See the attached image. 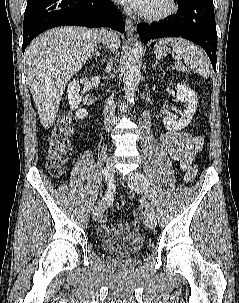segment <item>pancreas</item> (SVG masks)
<instances>
[{"mask_svg": "<svg viewBox=\"0 0 239 303\" xmlns=\"http://www.w3.org/2000/svg\"><path fill=\"white\" fill-rule=\"evenodd\" d=\"M176 68H177L178 71L188 72V70L181 63H177Z\"/></svg>", "mask_w": 239, "mask_h": 303, "instance_id": "pancreas-1", "label": "pancreas"}]
</instances>
